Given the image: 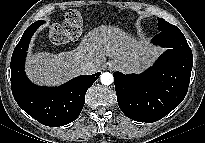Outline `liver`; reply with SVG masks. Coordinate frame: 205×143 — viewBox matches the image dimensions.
I'll list each match as a JSON object with an SVG mask.
<instances>
[{
	"mask_svg": "<svg viewBox=\"0 0 205 143\" xmlns=\"http://www.w3.org/2000/svg\"><path fill=\"white\" fill-rule=\"evenodd\" d=\"M158 50L115 26H98L89 31L72 51L51 54L37 52L26 59V74L38 85H60L82 74L81 64L92 62L96 71L109 57L125 73H138L148 67Z\"/></svg>",
	"mask_w": 205,
	"mask_h": 143,
	"instance_id": "liver-1",
	"label": "liver"
}]
</instances>
